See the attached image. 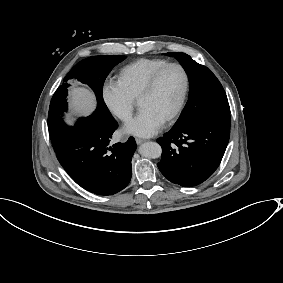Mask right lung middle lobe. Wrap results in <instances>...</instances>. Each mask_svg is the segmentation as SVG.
<instances>
[{
	"label": "right lung middle lobe",
	"mask_w": 283,
	"mask_h": 283,
	"mask_svg": "<svg viewBox=\"0 0 283 283\" xmlns=\"http://www.w3.org/2000/svg\"><path fill=\"white\" fill-rule=\"evenodd\" d=\"M124 59L125 56L120 55L89 57L77 63L66 75L63 85L55 92L49 107L48 128L56 153L66 147L73 135L72 129L75 127L67 126L61 119V115L67 110L66 96L69 82L77 80L90 86L97 98V109L93 114L109 116L111 114L102 97L103 84L112 68ZM83 119H80L76 125Z\"/></svg>",
	"instance_id": "obj_1"
}]
</instances>
